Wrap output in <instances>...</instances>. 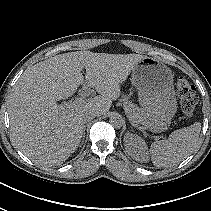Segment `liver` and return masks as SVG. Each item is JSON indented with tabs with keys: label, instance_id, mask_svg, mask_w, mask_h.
Returning a JSON list of instances; mask_svg holds the SVG:
<instances>
[{
	"label": "liver",
	"instance_id": "1",
	"mask_svg": "<svg viewBox=\"0 0 211 211\" xmlns=\"http://www.w3.org/2000/svg\"><path fill=\"white\" fill-rule=\"evenodd\" d=\"M139 54L76 51L56 55L25 70L9 98L11 137L15 146L35 164H62L78 147L84 129L82 114L106 113L120 95ZM99 96L82 105L61 109L57 101L72 96L84 85Z\"/></svg>",
	"mask_w": 211,
	"mask_h": 211
}]
</instances>
